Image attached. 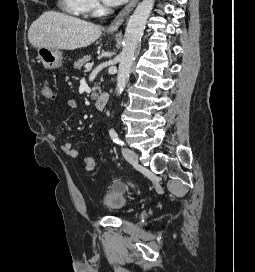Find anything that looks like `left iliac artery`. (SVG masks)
<instances>
[{
	"label": "left iliac artery",
	"mask_w": 255,
	"mask_h": 272,
	"mask_svg": "<svg viewBox=\"0 0 255 272\" xmlns=\"http://www.w3.org/2000/svg\"><path fill=\"white\" fill-rule=\"evenodd\" d=\"M110 137L113 140V142L123 146L125 145L124 142L119 138L118 134L116 133V131L114 129H110L109 131Z\"/></svg>",
	"instance_id": "44dca946"
}]
</instances>
